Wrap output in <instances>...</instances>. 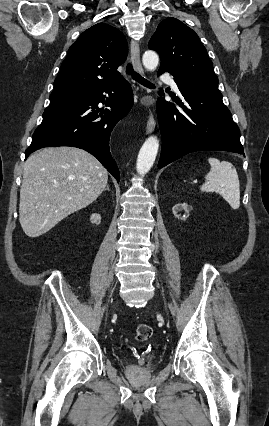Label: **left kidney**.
Segmentation results:
<instances>
[{"label": "left kidney", "instance_id": "left-kidney-1", "mask_svg": "<svg viewBox=\"0 0 269 426\" xmlns=\"http://www.w3.org/2000/svg\"><path fill=\"white\" fill-rule=\"evenodd\" d=\"M191 210V206L187 203H178L173 206L172 211L174 216L180 221L181 219H185ZM182 211V212H181ZM181 212V214H179Z\"/></svg>", "mask_w": 269, "mask_h": 426}]
</instances>
